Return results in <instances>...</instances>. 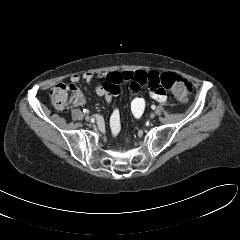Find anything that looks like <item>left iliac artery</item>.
I'll list each match as a JSON object with an SVG mask.
<instances>
[{"mask_svg": "<svg viewBox=\"0 0 240 240\" xmlns=\"http://www.w3.org/2000/svg\"><path fill=\"white\" fill-rule=\"evenodd\" d=\"M151 108L154 110V109L156 108V106H155V105H152Z\"/></svg>", "mask_w": 240, "mask_h": 240, "instance_id": "obj_1", "label": "left iliac artery"}]
</instances>
